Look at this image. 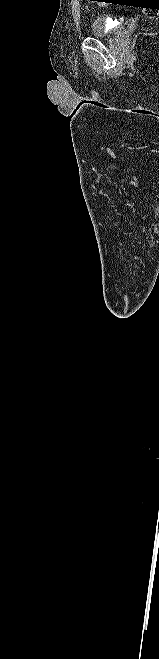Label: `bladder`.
<instances>
[{
	"label": "bladder",
	"mask_w": 159,
	"mask_h": 659,
	"mask_svg": "<svg viewBox=\"0 0 159 659\" xmlns=\"http://www.w3.org/2000/svg\"><path fill=\"white\" fill-rule=\"evenodd\" d=\"M117 29L118 27H109L106 20L98 16L91 22L89 33L94 38H110L116 33Z\"/></svg>",
	"instance_id": "1"
}]
</instances>
